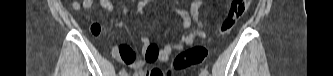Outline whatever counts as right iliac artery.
<instances>
[{"mask_svg":"<svg viewBox=\"0 0 333 76\" xmlns=\"http://www.w3.org/2000/svg\"><path fill=\"white\" fill-rule=\"evenodd\" d=\"M119 74L120 76H125L126 75L125 69L120 70Z\"/></svg>","mask_w":333,"mask_h":76,"instance_id":"obj_1","label":"right iliac artery"}]
</instances>
